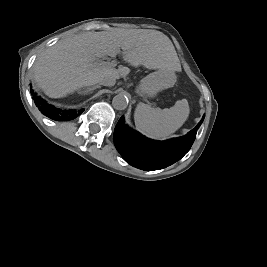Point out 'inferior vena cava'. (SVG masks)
<instances>
[{"label": "inferior vena cava", "instance_id": "1", "mask_svg": "<svg viewBox=\"0 0 267 267\" xmlns=\"http://www.w3.org/2000/svg\"><path fill=\"white\" fill-rule=\"evenodd\" d=\"M98 83L104 86H114L116 83V79L112 77H102L98 81Z\"/></svg>", "mask_w": 267, "mask_h": 267}]
</instances>
